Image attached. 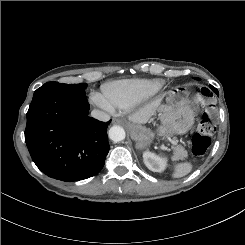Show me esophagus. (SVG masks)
Masks as SVG:
<instances>
[{
	"label": "esophagus",
	"instance_id": "34e87169",
	"mask_svg": "<svg viewBox=\"0 0 245 245\" xmlns=\"http://www.w3.org/2000/svg\"><path fill=\"white\" fill-rule=\"evenodd\" d=\"M112 123H113V124H123L124 122H123V120H121V119L115 118V119L112 120Z\"/></svg>",
	"mask_w": 245,
	"mask_h": 245
}]
</instances>
